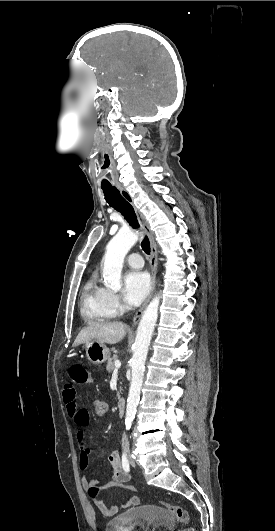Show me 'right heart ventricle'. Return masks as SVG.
Wrapping results in <instances>:
<instances>
[{
  "label": "right heart ventricle",
  "instance_id": "e07e8e85",
  "mask_svg": "<svg viewBox=\"0 0 275 531\" xmlns=\"http://www.w3.org/2000/svg\"><path fill=\"white\" fill-rule=\"evenodd\" d=\"M81 313L91 323H103L112 317L105 305V290L96 275H91L83 285Z\"/></svg>",
  "mask_w": 275,
  "mask_h": 531
}]
</instances>
